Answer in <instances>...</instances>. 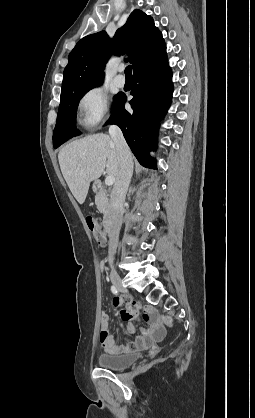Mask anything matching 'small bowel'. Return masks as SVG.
<instances>
[{"mask_svg":"<svg viewBox=\"0 0 255 418\" xmlns=\"http://www.w3.org/2000/svg\"><path fill=\"white\" fill-rule=\"evenodd\" d=\"M106 267V262L100 263V269L103 270ZM113 306L118 310V315L123 321L135 320L139 317L140 306L136 302H128L125 306H122V302L119 299L113 301ZM153 311L150 307L145 308L143 319L145 321L152 320ZM109 318L106 314L101 317V331L99 335L100 347L108 354H122L130 352L134 349H139L147 345L149 341L159 340L165 335V328L163 325L152 328L147 331L144 330L142 335L137 336L132 342L125 345H116L113 336L108 332ZM128 331L134 332L133 324L128 325Z\"/></svg>","mask_w":255,"mask_h":418,"instance_id":"1","label":"small bowel"}]
</instances>
